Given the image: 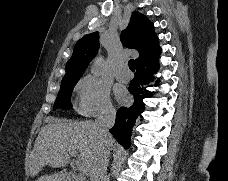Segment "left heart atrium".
<instances>
[{"label": "left heart atrium", "instance_id": "39dd6f15", "mask_svg": "<svg viewBox=\"0 0 228 181\" xmlns=\"http://www.w3.org/2000/svg\"><path fill=\"white\" fill-rule=\"evenodd\" d=\"M121 95H122L121 93L118 94L119 97H121Z\"/></svg>", "mask_w": 228, "mask_h": 181}]
</instances>
